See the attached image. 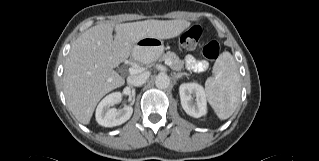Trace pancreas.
I'll return each mask as SVG.
<instances>
[{
  "mask_svg": "<svg viewBox=\"0 0 319 161\" xmlns=\"http://www.w3.org/2000/svg\"><path fill=\"white\" fill-rule=\"evenodd\" d=\"M158 59L160 61L169 60L171 62L170 67L176 71H180L184 67V61L180 60V58L174 52L171 51L163 53Z\"/></svg>",
  "mask_w": 319,
  "mask_h": 161,
  "instance_id": "cf45deb5",
  "label": "pancreas"
}]
</instances>
